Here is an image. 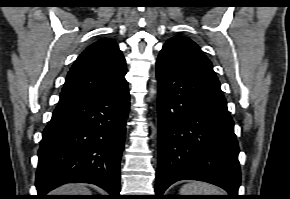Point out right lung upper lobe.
<instances>
[{
  "label": "right lung upper lobe",
  "instance_id": "1",
  "mask_svg": "<svg viewBox=\"0 0 290 199\" xmlns=\"http://www.w3.org/2000/svg\"><path fill=\"white\" fill-rule=\"evenodd\" d=\"M126 61L118 44L109 38L90 45L68 72L58 105L93 98L126 83Z\"/></svg>",
  "mask_w": 290,
  "mask_h": 199
}]
</instances>
